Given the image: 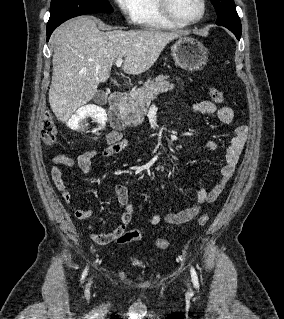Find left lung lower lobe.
<instances>
[{
    "instance_id": "left-lung-lower-lobe-1",
    "label": "left lung lower lobe",
    "mask_w": 284,
    "mask_h": 319,
    "mask_svg": "<svg viewBox=\"0 0 284 319\" xmlns=\"http://www.w3.org/2000/svg\"><path fill=\"white\" fill-rule=\"evenodd\" d=\"M226 28L229 29L236 36L238 40L240 39L242 30H237L230 27H226Z\"/></svg>"
}]
</instances>
